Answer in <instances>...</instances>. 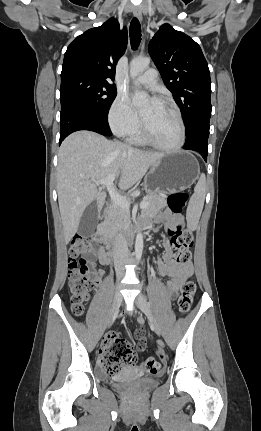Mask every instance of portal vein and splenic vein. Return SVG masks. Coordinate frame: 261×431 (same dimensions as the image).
Listing matches in <instances>:
<instances>
[{"label": "portal vein and splenic vein", "mask_w": 261, "mask_h": 431, "mask_svg": "<svg viewBox=\"0 0 261 431\" xmlns=\"http://www.w3.org/2000/svg\"><path fill=\"white\" fill-rule=\"evenodd\" d=\"M114 180H115V176L110 175V176H108V177H106L104 179L95 181V183L97 185L106 186V188H107V190L109 192V195H110L111 199L113 200V202L115 204H117L118 206H121L122 208H125V209L129 210L130 204L126 200V198L122 197L118 193L117 189L115 188V186L113 184ZM148 206H149V203L146 202V201H142L140 203V208H142V209H144V208H146Z\"/></svg>", "instance_id": "18ae733b"}]
</instances>
